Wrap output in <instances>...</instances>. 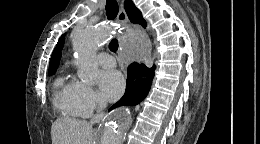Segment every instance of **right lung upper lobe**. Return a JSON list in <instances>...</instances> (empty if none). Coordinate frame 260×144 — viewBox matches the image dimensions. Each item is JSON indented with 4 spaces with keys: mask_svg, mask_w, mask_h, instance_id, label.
Returning a JSON list of instances; mask_svg holds the SVG:
<instances>
[{
    "mask_svg": "<svg viewBox=\"0 0 260 144\" xmlns=\"http://www.w3.org/2000/svg\"><path fill=\"white\" fill-rule=\"evenodd\" d=\"M124 8L127 13L128 18L132 23H138L142 27L146 28V21L144 20L140 10L136 8L134 3L131 0H125L124 2ZM64 37L65 34L61 36L59 39L53 53L50 59V64H49V71H56V68L59 64V60L61 58V50L64 45Z\"/></svg>",
    "mask_w": 260,
    "mask_h": 144,
    "instance_id": "right-lung-upper-lobe-1",
    "label": "right lung upper lobe"
}]
</instances>
